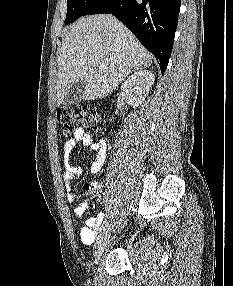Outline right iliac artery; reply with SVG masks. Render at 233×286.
<instances>
[{"mask_svg":"<svg viewBox=\"0 0 233 286\" xmlns=\"http://www.w3.org/2000/svg\"><path fill=\"white\" fill-rule=\"evenodd\" d=\"M109 222H110V221H109L108 219H106V220L104 221V223L102 224V226H101V228H100V231L105 230V228L108 227Z\"/></svg>","mask_w":233,"mask_h":286,"instance_id":"obj_1","label":"right iliac artery"}]
</instances>
